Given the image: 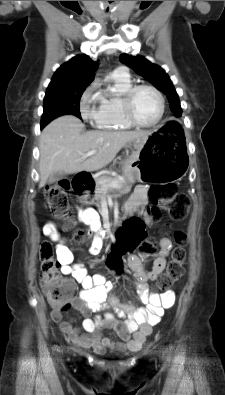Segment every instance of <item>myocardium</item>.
Masks as SVG:
<instances>
[{"instance_id":"obj_1","label":"myocardium","mask_w":225,"mask_h":395,"mask_svg":"<svg viewBox=\"0 0 225 395\" xmlns=\"http://www.w3.org/2000/svg\"><path fill=\"white\" fill-rule=\"evenodd\" d=\"M142 89H147L152 91L158 98L160 105V112L158 118L154 122L148 124L138 121L133 113L134 97L136 93ZM121 107H122L123 116L129 124L139 128H152L157 126L163 119L165 113V100L162 93L156 87L149 84H136V85H132L123 93L121 98Z\"/></svg>"}]
</instances>
